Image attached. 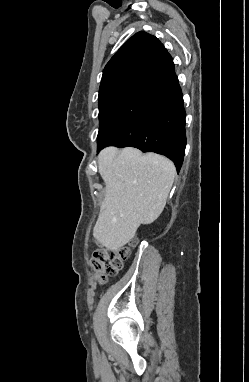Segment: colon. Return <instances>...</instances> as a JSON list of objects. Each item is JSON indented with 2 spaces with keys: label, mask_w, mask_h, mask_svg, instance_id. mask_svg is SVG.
I'll use <instances>...</instances> for the list:
<instances>
[{
  "label": "colon",
  "mask_w": 249,
  "mask_h": 382,
  "mask_svg": "<svg viewBox=\"0 0 249 382\" xmlns=\"http://www.w3.org/2000/svg\"><path fill=\"white\" fill-rule=\"evenodd\" d=\"M136 244V240L130 241L129 246L121 247L115 251L97 249L91 257L92 268L100 274L98 281L104 283L106 276L117 274L123 266V262L129 257L130 248Z\"/></svg>",
  "instance_id": "obj_1"
}]
</instances>
